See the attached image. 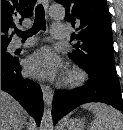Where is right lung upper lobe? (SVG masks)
<instances>
[{"label":"right lung upper lobe","instance_id":"obj_1","mask_svg":"<svg viewBox=\"0 0 123 130\" xmlns=\"http://www.w3.org/2000/svg\"><path fill=\"white\" fill-rule=\"evenodd\" d=\"M36 0H1V44H9V32L17 22L29 17Z\"/></svg>","mask_w":123,"mask_h":130}]
</instances>
